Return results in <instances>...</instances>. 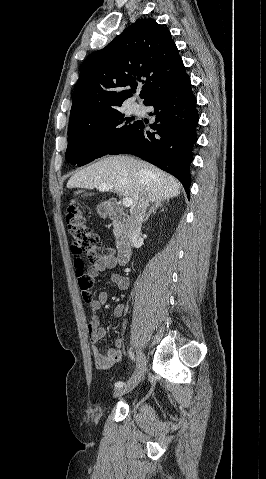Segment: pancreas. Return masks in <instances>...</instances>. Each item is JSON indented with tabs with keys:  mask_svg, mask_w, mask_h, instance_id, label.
Wrapping results in <instances>:
<instances>
[{
	"mask_svg": "<svg viewBox=\"0 0 266 479\" xmlns=\"http://www.w3.org/2000/svg\"><path fill=\"white\" fill-rule=\"evenodd\" d=\"M115 237H116V240H117V246H119V245H120V242H119L120 234H119V233H116V234H115Z\"/></svg>",
	"mask_w": 266,
	"mask_h": 479,
	"instance_id": "cf45deb5",
	"label": "pancreas"
}]
</instances>
